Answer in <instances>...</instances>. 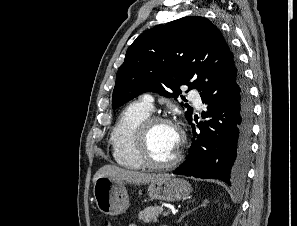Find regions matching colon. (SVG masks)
I'll use <instances>...</instances> for the list:
<instances>
[{"label": "colon", "instance_id": "colon-1", "mask_svg": "<svg viewBox=\"0 0 297 226\" xmlns=\"http://www.w3.org/2000/svg\"><path fill=\"white\" fill-rule=\"evenodd\" d=\"M102 226H111L109 222H104Z\"/></svg>", "mask_w": 297, "mask_h": 226}]
</instances>
